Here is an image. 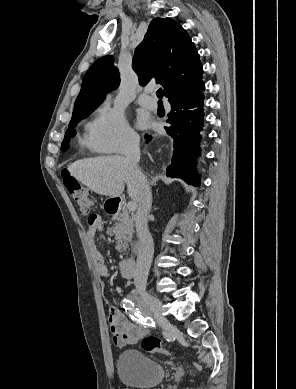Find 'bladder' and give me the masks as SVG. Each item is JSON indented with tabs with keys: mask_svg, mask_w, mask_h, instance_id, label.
<instances>
[{
	"mask_svg": "<svg viewBox=\"0 0 296 389\" xmlns=\"http://www.w3.org/2000/svg\"><path fill=\"white\" fill-rule=\"evenodd\" d=\"M120 380L127 386L147 389L160 384L165 378V369L157 361L136 349L122 351L116 362Z\"/></svg>",
	"mask_w": 296,
	"mask_h": 389,
	"instance_id": "1",
	"label": "bladder"
}]
</instances>
